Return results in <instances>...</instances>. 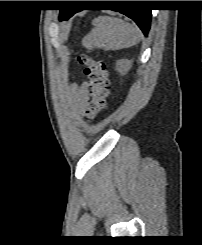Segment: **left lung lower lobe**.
Here are the masks:
<instances>
[{
  "label": "left lung lower lobe",
  "instance_id": "obj_1",
  "mask_svg": "<svg viewBox=\"0 0 202 245\" xmlns=\"http://www.w3.org/2000/svg\"><path fill=\"white\" fill-rule=\"evenodd\" d=\"M125 4H129L134 6L132 8H124V9H116L114 11H118L129 18L133 19L136 24L140 27L142 32L147 35L150 29L151 23V10L140 8V1H127ZM81 10L78 9H65L60 11V21L69 19L73 14L79 12Z\"/></svg>",
  "mask_w": 202,
  "mask_h": 245
}]
</instances>
